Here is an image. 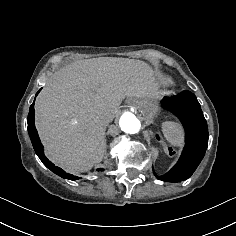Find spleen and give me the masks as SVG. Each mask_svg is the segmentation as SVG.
Wrapping results in <instances>:
<instances>
[{"instance_id":"1","label":"spleen","mask_w":236,"mask_h":236,"mask_svg":"<svg viewBox=\"0 0 236 236\" xmlns=\"http://www.w3.org/2000/svg\"><path fill=\"white\" fill-rule=\"evenodd\" d=\"M163 133L168 142L173 146H183V131L181 126L174 122L163 123Z\"/></svg>"}]
</instances>
